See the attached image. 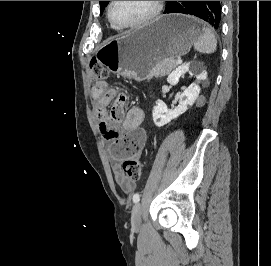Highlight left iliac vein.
<instances>
[{"label": "left iliac vein", "mask_w": 271, "mask_h": 266, "mask_svg": "<svg viewBox=\"0 0 271 266\" xmlns=\"http://www.w3.org/2000/svg\"><path fill=\"white\" fill-rule=\"evenodd\" d=\"M141 218H142V205L141 203H137L131 214V226L134 230H138L141 226Z\"/></svg>", "instance_id": "left-iliac-vein-1"}]
</instances>
